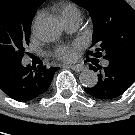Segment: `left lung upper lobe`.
<instances>
[{"mask_svg":"<svg viewBox=\"0 0 135 135\" xmlns=\"http://www.w3.org/2000/svg\"><path fill=\"white\" fill-rule=\"evenodd\" d=\"M93 20L94 49L88 55L135 61V10L124 0H72Z\"/></svg>","mask_w":135,"mask_h":135,"instance_id":"5c2ea615","label":"left lung upper lobe"}]
</instances>
